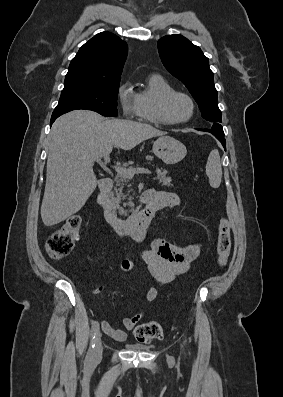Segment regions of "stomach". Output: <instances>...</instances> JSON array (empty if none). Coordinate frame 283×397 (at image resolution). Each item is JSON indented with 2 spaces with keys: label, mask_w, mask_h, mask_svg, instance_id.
I'll use <instances>...</instances> for the list:
<instances>
[{
  "label": "stomach",
  "mask_w": 283,
  "mask_h": 397,
  "mask_svg": "<svg viewBox=\"0 0 283 397\" xmlns=\"http://www.w3.org/2000/svg\"><path fill=\"white\" fill-rule=\"evenodd\" d=\"M153 153L164 163L173 165L186 156L187 150L179 140L170 136H161L153 144Z\"/></svg>",
  "instance_id": "stomach-1"
}]
</instances>
